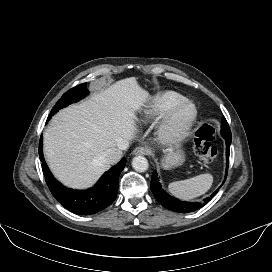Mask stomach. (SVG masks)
Wrapping results in <instances>:
<instances>
[{"label": "stomach", "mask_w": 272, "mask_h": 272, "mask_svg": "<svg viewBox=\"0 0 272 272\" xmlns=\"http://www.w3.org/2000/svg\"><path fill=\"white\" fill-rule=\"evenodd\" d=\"M185 161V152L179 146H170L164 150V155L161 159V165L164 169H172L181 166Z\"/></svg>", "instance_id": "1"}]
</instances>
